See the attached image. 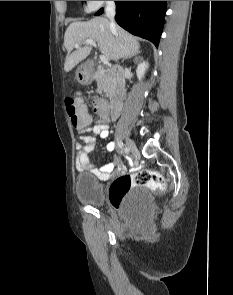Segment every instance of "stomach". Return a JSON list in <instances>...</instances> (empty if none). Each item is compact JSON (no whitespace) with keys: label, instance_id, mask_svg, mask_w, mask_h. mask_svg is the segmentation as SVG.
Instances as JSON below:
<instances>
[{"label":"stomach","instance_id":"0dacf381","mask_svg":"<svg viewBox=\"0 0 233 295\" xmlns=\"http://www.w3.org/2000/svg\"><path fill=\"white\" fill-rule=\"evenodd\" d=\"M76 79L81 84H87L93 79V75L86 65H81L76 71Z\"/></svg>","mask_w":233,"mask_h":295}]
</instances>
